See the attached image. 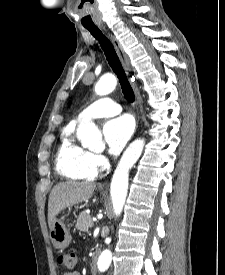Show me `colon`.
Returning <instances> with one entry per match:
<instances>
[{"label":"colon","instance_id":"colon-1","mask_svg":"<svg viewBox=\"0 0 225 275\" xmlns=\"http://www.w3.org/2000/svg\"><path fill=\"white\" fill-rule=\"evenodd\" d=\"M58 264L68 270H73L76 266V255L71 252L60 254Z\"/></svg>","mask_w":225,"mask_h":275}]
</instances>
